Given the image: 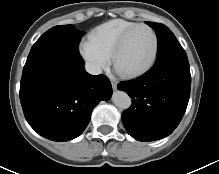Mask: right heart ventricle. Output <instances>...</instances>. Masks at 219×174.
Masks as SVG:
<instances>
[{"label":"right heart ventricle","instance_id":"1","mask_svg":"<svg viewBox=\"0 0 219 174\" xmlns=\"http://www.w3.org/2000/svg\"><path fill=\"white\" fill-rule=\"evenodd\" d=\"M138 24L120 18L112 19L95 27L89 33L88 38L107 55L112 56L113 50L123 34Z\"/></svg>","mask_w":219,"mask_h":174}]
</instances>
